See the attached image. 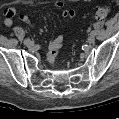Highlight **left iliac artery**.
Wrapping results in <instances>:
<instances>
[{
    "label": "left iliac artery",
    "instance_id": "44dca946",
    "mask_svg": "<svg viewBox=\"0 0 119 119\" xmlns=\"http://www.w3.org/2000/svg\"><path fill=\"white\" fill-rule=\"evenodd\" d=\"M94 33H95V32H94V31H92V32H91V35H94Z\"/></svg>",
    "mask_w": 119,
    "mask_h": 119
}]
</instances>
